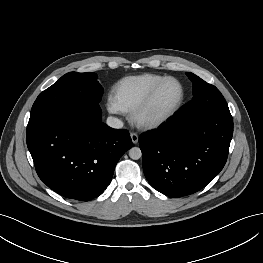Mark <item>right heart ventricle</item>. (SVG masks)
Segmentation results:
<instances>
[{"label": "right heart ventricle", "instance_id": "right-heart-ventricle-1", "mask_svg": "<svg viewBox=\"0 0 263 263\" xmlns=\"http://www.w3.org/2000/svg\"><path fill=\"white\" fill-rule=\"evenodd\" d=\"M163 78L162 75L148 73L122 78L113 85L111 100L121 112H132Z\"/></svg>", "mask_w": 263, "mask_h": 263}]
</instances>
